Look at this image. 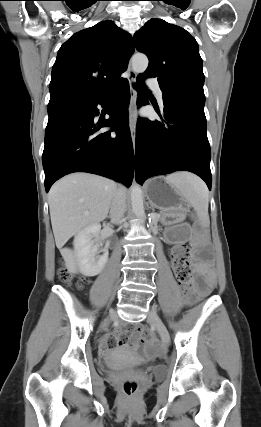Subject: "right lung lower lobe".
Segmentation results:
<instances>
[{
    "label": "right lung lower lobe",
    "mask_w": 261,
    "mask_h": 427,
    "mask_svg": "<svg viewBox=\"0 0 261 427\" xmlns=\"http://www.w3.org/2000/svg\"><path fill=\"white\" fill-rule=\"evenodd\" d=\"M112 94L87 104L49 114L42 155L45 189L72 172L102 175L130 186L134 176V152L128 127L127 107L130 101L129 83L125 79ZM114 98L107 120L94 121L104 106ZM114 128L107 132L99 130ZM115 131V133H112Z\"/></svg>",
    "instance_id": "98d812e1"
}]
</instances>
